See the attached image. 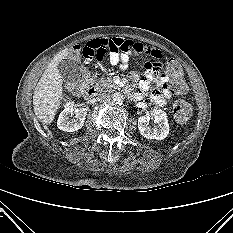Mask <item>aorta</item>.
I'll use <instances>...</instances> for the list:
<instances>
[{
	"label": "aorta",
	"mask_w": 233,
	"mask_h": 233,
	"mask_svg": "<svg viewBox=\"0 0 233 233\" xmlns=\"http://www.w3.org/2000/svg\"><path fill=\"white\" fill-rule=\"evenodd\" d=\"M111 100L116 105H121L124 101V95L119 92H115L112 94Z\"/></svg>",
	"instance_id": "aorta-1"
}]
</instances>
